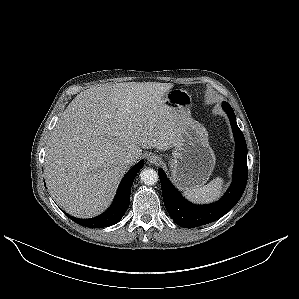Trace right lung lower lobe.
<instances>
[{"instance_id": "obj_1", "label": "right lung lower lobe", "mask_w": 299, "mask_h": 299, "mask_svg": "<svg viewBox=\"0 0 299 299\" xmlns=\"http://www.w3.org/2000/svg\"><path fill=\"white\" fill-rule=\"evenodd\" d=\"M143 165L144 161L141 160L123 177L112 206L104 214L92 219H79L68 214L67 216L77 224L89 228H103L118 223L128 209L134 178Z\"/></svg>"}]
</instances>
